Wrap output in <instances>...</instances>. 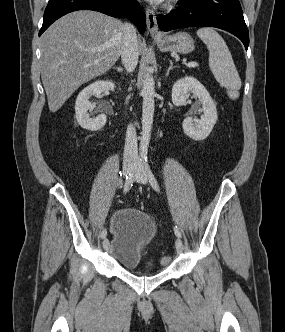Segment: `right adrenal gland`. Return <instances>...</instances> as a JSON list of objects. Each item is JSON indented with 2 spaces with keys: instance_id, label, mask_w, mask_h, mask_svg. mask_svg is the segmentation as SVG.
I'll return each mask as SVG.
<instances>
[{
  "instance_id": "right-adrenal-gland-1",
  "label": "right adrenal gland",
  "mask_w": 285,
  "mask_h": 332,
  "mask_svg": "<svg viewBox=\"0 0 285 332\" xmlns=\"http://www.w3.org/2000/svg\"><path fill=\"white\" fill-rule=\"evenodd\" d=\"M114 69H116L119 73L123 72V68L122 67H114Z\"/></svg>"
}]
</instances>
